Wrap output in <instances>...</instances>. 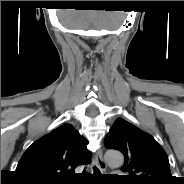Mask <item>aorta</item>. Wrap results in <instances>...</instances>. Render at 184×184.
I'll use <instances>...</instances> for the list:
<instances>
[{
  "mask_svg": "<svg viewBox=\"0 0 184 184\" xmlns=\"http://www.w3.org/2000/svg\"><path fill=\"white\" fill-rule=\"evenodd\" d=\"M107 163L112 167H119L124 162V157L119 151L109 150L105 154Z\"/></svg>",
  "mask_w": 184,
  "mask_h": 184,
  "instance_id": "obj_1",
  "label": "aorta"
}]
</instances>
